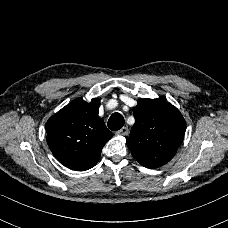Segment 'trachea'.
Masks as SVG:
<instances>
[{
    "mask_svg": "<svg viewBox=\"0 0 228 228\" xmlns=\"http://www.w3.org/2000/svg\"><path fill=\"white\" fill-rule=\"evenodd\" d=\"M125 120L120 113H113L108 120V128L112 131L120 130L124 126Z\"/></svg>",
    "mask_w": 228,
    "mask_h": 228,
    "instance_id": "3493384b",
    "label": "trachea"
}]
</instances>
